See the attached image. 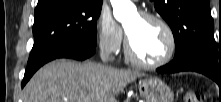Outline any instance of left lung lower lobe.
Wrapping results in <instances>:
<instances>
[{"mask_svg": "<svg viewBox=\"0 0 221 102\" xmlns=\"http://www.w3.org/2000/svg\"><path fill=\"white\" fill-rule=\"evenodd\" d=\"M180 71H195L202 73L221 86V66L217 65L211 58L198 53L188 52L174 57L169 64L157 69L159 73H175Z\"/></svg>", "mask_w": 221, "mask_h": 102, "instance_id": "left-lung-lower-lobe-1", "label": "left lung lower lobe"}]
</instances>
